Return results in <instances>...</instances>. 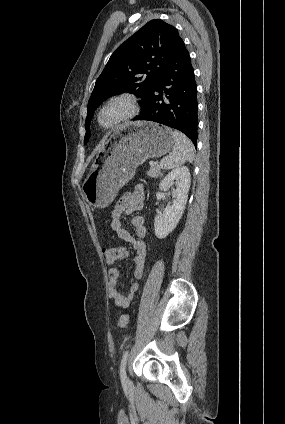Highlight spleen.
<instances>
[{"mask_svg":"<svg viewBox=\"0 0 285 424\" xmlns=\"http://www.w3.org/2000/svg\"><path fill=\"white\" fill-rule=\"evenodd\" d=\"M173 137L172 153L160 162V166L164 169H173L187 161L192 162L194 159L195 148L190 139L179 131H173Z\"/></svg>","mask_w":285,"mask_h":424,"instance_id":"obj_1","label":"spleen"}]
</instances>
